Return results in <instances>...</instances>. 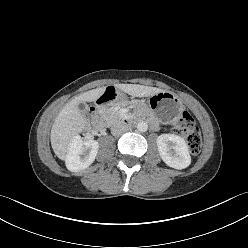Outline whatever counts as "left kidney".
Listing matches in <instances>:
<instances>
[{"label": "left kidney", "mask_w": 248, "mask_h": 248, "mask_svg": "<svg viewBox=\"0 0 248 248\" xmlns=\"http://www.w3.org/2000/svg\"><path fill=\"white\" fill-rule=\"evenodd\" d=\"M157 147L162 160L170 167L184 169L191 163L188 145L175 134H161L157 137Z\"/></svg>", "instance_id": "obj_1"}]
</instances>
